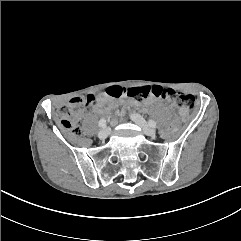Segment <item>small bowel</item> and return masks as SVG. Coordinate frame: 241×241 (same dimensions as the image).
Returning a JSON list of instances; mask_svg holds the SVG:
<instances>
[{
  "mask_svg": "<svg viewBox=\"0 0 241 241\" xmlns=\"http://www.w3.org/2000/svg\"><path fill=\"white\" fill-rule=\"evenodd\" d=\"M154 102V99L153 98H150V99H148L145 103L146 104H149V103H153ZM98 111H100L99 109H97ZM181 114H184L185 113V111L184 110H180L179 111Z\"/></svg>",
  "mask_w": 241,
  "mask_h": 241,
  "instance_id": "obj_1",
  "label": "small bowel"
}]
</instances>
